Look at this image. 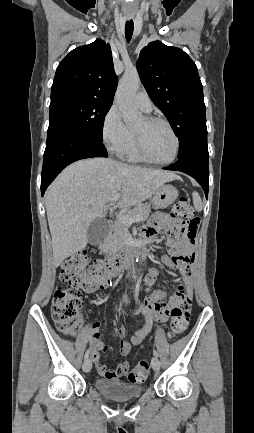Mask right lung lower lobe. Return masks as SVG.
Returning a JSON list of instances; mask_svg holds the SVG:
<instances>
[{"label": "right lung lower lobe", "instance_id": "98d812e1", "mask_svg": "<svg viewBox=\"0 0 254 433\" xmlns=\"http://www.w3.org/2000/svg\"><path fill=\"white\" fill-rule=\"evenodd\" d=\"M92 157H107L106 148L101 140L70 124L61 121L50 122L41 174L42 196L66 166L77 160Z\"/></svg>", "mask_w": 254, "mask_h": 433}]
</instances>
